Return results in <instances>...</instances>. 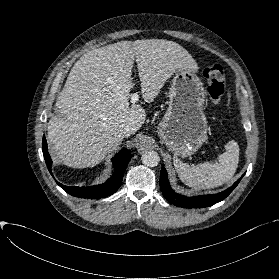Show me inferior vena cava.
<instances>
[{
	"mask_svg": "<svg viewBox=\"0 0 279 279\" xmlns=\"http://www.w3.org/2000/svg\"><path fill=\"white\" fill-rule=\"evenodd\" d=\"M132 134V129L130 127H125L122 131H121V135L122 137H128Z\"/></svg>",
	"mask_w": 279,
	"mask_h": 279,
	"instance_id": "602c4592",
	"label": "inferior vena cava"
}]
</instances>
